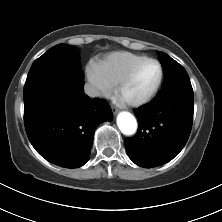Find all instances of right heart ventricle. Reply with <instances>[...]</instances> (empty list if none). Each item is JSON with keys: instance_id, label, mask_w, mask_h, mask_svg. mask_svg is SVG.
Wrapping results in <instances>:
<instances>
[{"instance_id": "right-heart-ventricle-1", "label": "right heart ventricle", "mask_w": 222, "mask_h": 222, "mask_svg": "<svg viewBox=\"0 0 222 222\" xmlns=\"http://www.w3.org/2000/svg\"><path fill=\"white\" fill-rule=\"evenodd\" d=\"M146 56L127 51L109 54L98 64L101 76L112 86L117 85L128 71Z\"/></svg>"}]
</instances>
